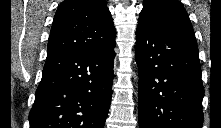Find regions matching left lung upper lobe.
I'll list each match as a JSON object with an SVG mask.
<instances>
[{
	"label": "left lung upper lobe",
	"mask_w": 221,
	"mask_h": 128,
	"mask_svg": "<svg viewBox=\"0 0 221 128\" xmlns=\"http://www.w3.org/2000/svg\"><path fill=\"white\" fill-rule=\"evenodd\" d=\"M139 23H145L196 43L193 27L183 5L177 0H144Z\"/></svg>",
	"instance_id": "5c2ea615"
}]
</instances>
